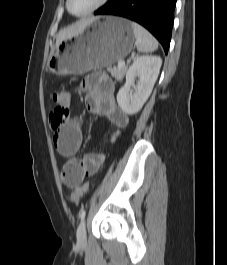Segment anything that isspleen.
Wrapping results in <instances>:
<instances>
[{"instance_id": "obj_1", "label": "spleen", "mask_w": 227, "mask_h": 265, "mask_svg": "<svg viewBox=\"0 0 227 265\" xmlns=\"http://www.w3.org/2000/svg\"><path fill=\"white\" fill-rule=\"evenodd\" d=\"M132 27L139 52H153L158 48L157 40L145 28L135 22H132Z\"/></svg>"}]
</instances>
